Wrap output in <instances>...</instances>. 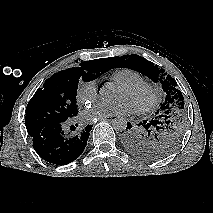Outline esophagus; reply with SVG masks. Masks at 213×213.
Wrapping results in <instances>:
<instances>
[{"label": "esophagus", "instance_id": "obj_1", "mask_svg": "<svg viewBox=\"0 0 213 213\" xmlns=\"http://www.w3.org/2000/svg\"><path fill=\"white\" fill-rule=\"evenodd\" d=\"M117 118H118L117 116H111V117H106V118L99 119V121H102V120L114 121V120H116Z\"/></svg>", "mask_w": 213, "mask_h": 213}]
</instances>
